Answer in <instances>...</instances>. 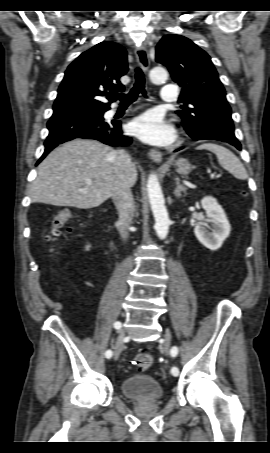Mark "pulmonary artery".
I'll list each match as a JSON object with an SVG mask.
<instances>
[{
	"label": "pulmonary artery",
	"instance_id": "1",
	"mask_svg": "<svg viewBox=\"0 0 270 453\" xmlns=\"http://www.w3.org/2000/svg\"><path fill=\"white\" fill-rule=\"evenodd\" d=\"M178 91L175 85L169 84L162 87L161 98L163 101H176Z\"/></svg>",
	"mask_w": 270,
	"mask_h": 453
}]
</instances>
